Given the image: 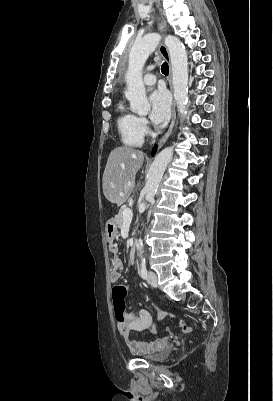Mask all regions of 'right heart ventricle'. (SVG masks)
<instances>
[{
    "label": "right heart ventricle",
    "mask_w": 273,
    "mask_h": 401,
    "mask_svg": "<svg viewBox=\"0 0 273 401\" xmlns=\"http://www.w3.org/2000/svg\"><path fill=\"white\" fill-rule=\"evenodd\" d=\"M117 128L126 146L139 147L143 143V134L140 131L138 117L128 111L125 102L120 100L116 104Z\"/></svg>",
    "instance_id": "e07e8e85"
}]
</instances>
